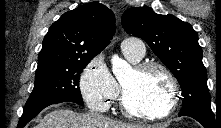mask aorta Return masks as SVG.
Masks as SVG:
<instances>
[{
  "label": "aorta",
  "mask_w": 221,
  "mask_h": 128,
  "mask_svg": "<svg viewBox=\"0 0 221 128\" xmlns=\"http://www.w3.org/2000/svg\"><path fill=\"white\" fill-rule=\"evenodd\" d=\"M112 72L117 79L123 77L131 69V66L118 55H113L111 58Z\"/></svg>",
  "instance_id": "aorta-1"
}]
</instances>
